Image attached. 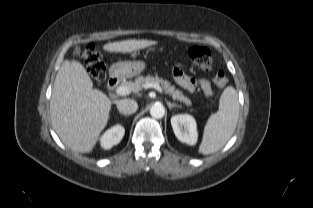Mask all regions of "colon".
Instances as JSON below:
<instances>
[{
    "label": "colon",
    "mask_w": 313,
    "mask_h": 208,
    "mask_svg": "<svg viewBox=\"0 0 313 208\" xmlns=\"http://www.w3.org/2000/svg\"><path fill=\"white\" fill-rule=\"evenodd\" d=\"M188 56L200 69L209 70L212 67L213 56L211 51L205 46H192L188 50ZM82 57L88 70L97 84H100L106 76V67L99 52L93 45L87 46ZM214 83L218 87H224L228 79L223 71H218L214 77Z\"/></svg>",
    "instance_id": "5ec220e1"
}]
</instances>
